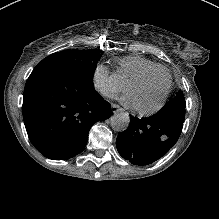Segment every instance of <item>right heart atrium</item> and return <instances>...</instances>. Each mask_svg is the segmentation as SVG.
Returning a JSON list of instances; mask_svg holds the SVG:
<instances>
[{"instance_id": "obj_1", "label": "right heart atrium", "mask_w": 219, "mask_h": 219, "mask_svg": "<svg viewBox=\"0 0 219 219\" xmlns=\"http://www.w3.org/2000/svg\"><path fill=\"white\" fill-rule=\"evenodd\" d=\"M93 79L95 86L106 96L114 97L123 89L118 76L103 64L96 66Z\"/></svg>"}]
</instances>
